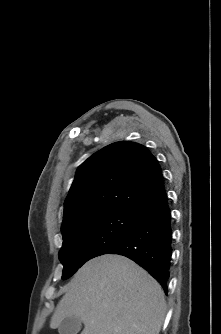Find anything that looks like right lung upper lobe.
<instances>
[{
  "label": "right lung upper lobe",
  "mask_w": 221,
  "mask_h": 334,
  "mask_svg": "<svg viewBox=\"0 0 221 334\" xmlns=\"http://www.w3.org/2000/svg\"><path fill=\"white\" fill-rule=\"evenodd\" d=\"M163 192L160 165L148 149L130 141L110 144L77 169L64 204L62 235L99 214H138Z\"/></svg>",
  "instance_id": "obj_1"
}]
</instances>
